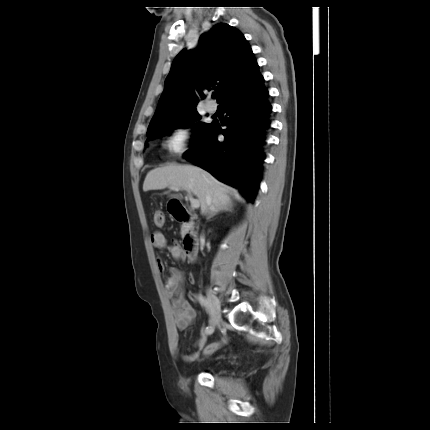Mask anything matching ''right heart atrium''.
<instances>
[{
	"instance_id": "obj_1",
	"label": "right heart atrium",
	"mask_w": 430,
	"mask_h": 430,
	"mask_svg": "<svg viewBox=\"0 0 430 430\" xmlns=\"http://www.w3.org/2000/svg\"><path fill=\"white\" fill-rule=\"evenodd\" d=\"M192 142L191 128L184 124L174 126L168 133L164 148L172 155L184 152Z\"/></svg>"
}]
</instances>
